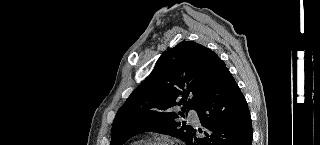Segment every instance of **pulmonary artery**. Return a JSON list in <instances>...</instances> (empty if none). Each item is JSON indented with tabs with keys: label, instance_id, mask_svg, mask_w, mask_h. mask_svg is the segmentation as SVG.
Returning <instances> with one entry per match:
<instances>
[{
	"label": "pulmonary artery",
	"instance_id": "pulmonary-artery-1",
	"mask_svg": "<svg viewBox=\"0 0 320 145\" xmlns=\"http://www.w3.org/2000/svg\"><path fill=\"white\" fill-rule=\"evenodd\" d=\"M188 119L195 125H199V117L195 111H190L188 113Z\"/></svg>",
	"mask_w": 320,
	"mask_h": 145
}]
</instances>
